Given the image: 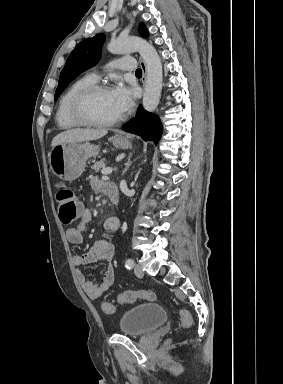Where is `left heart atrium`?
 <instances>
[{
  "instance_id": "left-heart-atrium-1",
  "label": "left heart atrium",
  "mask_w": 283,
  "mask_h": 384,
  "mask_svg": "<svg viewBox=\"0 0 283 384\" xmlns=\"http://www.w3.org/2000/svg\"><path fill=\"white\" fill-rule=\"evenodd\" d=\"M111 99L120 114L129 111L133 104L134 90L117 83L110 90Z\"/></svg>"
}]
</instances>
